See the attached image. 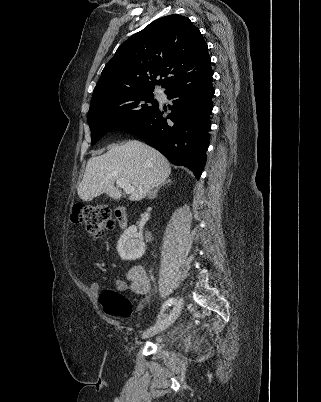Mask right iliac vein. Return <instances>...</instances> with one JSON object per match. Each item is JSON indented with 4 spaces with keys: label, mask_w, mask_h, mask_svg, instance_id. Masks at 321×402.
Returning a JSON list of instances; mask_svg holds the SVG:
<instances>
[{
    "label": "right iliac vein",
    "mask_w": 321,
    "mask_h": 402,
    "mask_svg": "<svg viewBox=\"0 0 321 402\" xmlns=\"http://www.w3.org/2000/svg\"><path fill=\"white\" fill-rule=\"evenodd\" d=\"M182 304V300L176 303V305L166 318L162 319L156 325L144 331V333L142 334V339L150 338L167 329L179 316L182 309Z\"/></svg>",
    "instance_id": "1"
}]
</instances>
